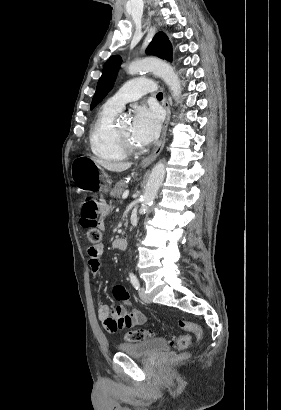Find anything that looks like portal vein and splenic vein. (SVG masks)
Masks as SVG:
<instances>
[{"mask_svg":"<svg viewBox=\"0 0 281 410\" xmlns=\"http://www.w3.org/2000/svg\"><path fill=\"white\" fill-rule=\"evenodd\" d=\"M128 195H129V190H125L122 194V198L126 199L128 197Z\"/></svg>","mask_w":281,"mask_h":410,"instance_id":"obj_1","label":"portal vein and splenic vein"}]
</instances>
